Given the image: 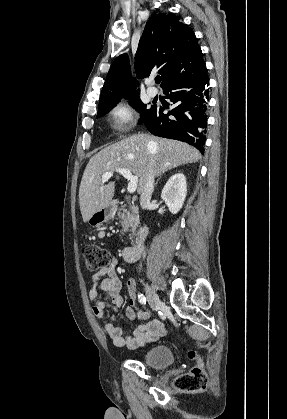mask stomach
I'll list each match as a JSON object with an SVG mask.
<instances>
[{"label": "stomach", "instance_id": "0dacf381", "mask_svg": "<svg viewBox=\"0 0 287 419\" xmlns=\"http://www.w3.org/2000/svg\"><path fill=\"white\" fill-rule=\"evenodd\" d=\"M114 215V207L110 203L105 208L95 212L88 220L91 226L97 227L101 224L108 222Z\"/></svg>", "mask_w": 287, "mask_h": 419}]
</instances>
